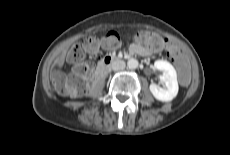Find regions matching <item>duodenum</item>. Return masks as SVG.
Segmentation results:
<instances>
[{"instance_id":"obj_1","label":"duodenum","mask_w":230,"mask_h":155,"mask_svg":"<svg viewBox=\"0 0 230 155\" xmlns=\"http://www.w3.org/2000/svg\"><path fill=\"white\" fill-rule=\"evenodd\" d=\"M132 53H134V52H132ZM121 60H123V58L119 57V56H113V55H106V56H104L101 59V61L98 63L97 67H96V76L101 75L113 63L119 62Z\"/></svg>"}]
</instances>
